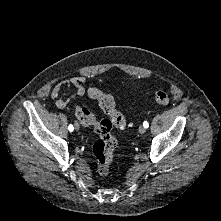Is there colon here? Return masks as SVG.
<instances>
[{
	"label": "colon",
	"mask_w": 221,
	"mask_h": 221,
	"mask_svg": "<svg viewBox=\"0 0 221 221\" xmlns=\"http://www.w3.org/2000/svg\"><path fill=\"white\" fill-rule=\"evenodd\" d=\"M88 95L98 100L101 109L109 119L98 121L91 111L82 106L76 107L75 115L81 124L93 126L99 134V140L93 146V153L97 159L99 174L105 176L109 172L113 152L117 145L116 139L111 135L112 126L115 125L120 129H126L129 123L117 109L115 100L111 95L105 94L97 88H90ZM153 100L160 105H168L170 103V98L164 91L154 92Z\"/></svg>",
	"instance_id": "obj_1"
}]
</instances>
